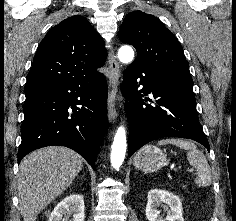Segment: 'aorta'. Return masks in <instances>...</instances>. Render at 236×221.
I'll return each mask as SVG.
<instances>
[{"mask_svg":"<svg viewBox=\"0 0 236 221\" xmlns=\"http://www.w3.org/2000/svg\"><path fill=\"white\" fill-rule=\"evenodd\" d=\"M118 58L122 63H130L134 58V51L129 45H124L118 50ZM127 140L126 131L123 126H120L114 136V141L111 150V164L115 169H118L124 161L126 154Z\"/></svg>","mask_w":236,"mask_h":221,"instance_id":"aorta-1","label":"aorta"}]
</instances>
